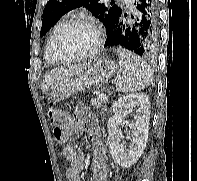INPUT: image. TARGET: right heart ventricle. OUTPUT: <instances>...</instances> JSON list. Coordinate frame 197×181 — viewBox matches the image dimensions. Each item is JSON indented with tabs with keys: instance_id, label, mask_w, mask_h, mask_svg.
I'll list each match as a JSON object with an SVG mask.
<instances>
[{
	"instance_id": "e07e8e85",
	"label": "right heart ventricle",
	"mask_w": 197,
	"mask_h": 181,
	"mask_svg": "<svg viewBox=\"0 0 197 181\" xmlns=\"http://www.w3.org/2000/svg\"><path fill=\"white\" fill-rule=\"evenodd\" d=\"M68 20L67 17L59 19L53 26L51 33L48 37L46 48H45V59L50 64H57L60 61L57 59L54 53V39L59 31L60 27Z\"/></svg>"
}]
</instances>
